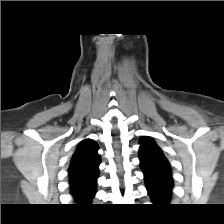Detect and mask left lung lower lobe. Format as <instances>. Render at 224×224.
<instances>
[{
	"instance_id": "0a47b994",
	"label": "left lung lower lobe",
	"mask_w": 224,
	"mask_h": 224,
	"mask_svg": "<svg viewBox=\"0 0 224 224\" xmlns=\"http://www.w3.org/2000/svg\"><path fill=\"white\" fill-rule=\"evenodd\" d=\"M144 174L146 187L152 200L158 204L169 202L173 187L171 174L146 171H144Z\"/></svg>"
}]
</instances>
